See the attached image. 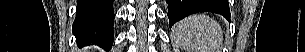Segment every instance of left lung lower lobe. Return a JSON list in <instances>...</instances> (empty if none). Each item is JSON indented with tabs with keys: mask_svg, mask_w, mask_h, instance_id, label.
<instances>
[{
	"mask_svg": "<svg viewBox=\"0 0 305 52\" xmlns=\"http://www.w3.org/2000/svg\"><path fill=\"white\" fill-rule=\"evenodd\" d=\"M168 3V18L170 27L177 22L176 17L188 9L198 10L197 12H213L230 19L228 0L212 2L210 0H166ZM220 6V7H218Z\"/></svg>",
	"mask_w": 305,
	"mask_h": 52,
	"instance_id": "left-lung-lower-lobe-1",
	"label": "left lung lower lobe"
}]
</instances>
